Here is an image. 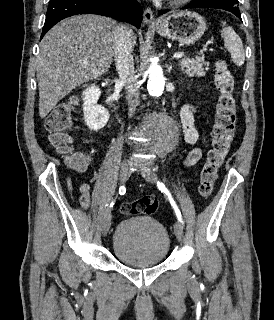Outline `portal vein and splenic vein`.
Wrapping results in <instances>:
<instances>
[{"instance_id": "18ae733b", "label": "portal vein and splenic vein", "mask_w": 274, "mask_h": 320, "mask_svg": "<svg viewBox=\"0 0 274 320\" xmlns=\"http://www.w3.org/2000/svg\"><path fill=\"white\" fill-rule=\"evenodd\" d=\"M182 56H184V52H176V54H174L173 58H182Z\"/></svg>"}]
</instances>
